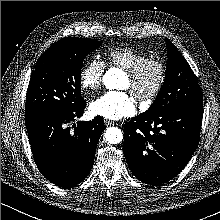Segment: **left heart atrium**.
<instances>
[{"label": "left heart atrium", "instance_id": "1", "mask_svg": "<svg viewBox=\"0 0 220 220\" xmlns=\"http://www.w3.org/2000/svg\"><path fill=\"white\" fill-rule=\"evenodd\" d=\"M93 115L109 120H118L136 113L134 97L126 91H109L90 103Z\"/></svg>", "mask_w": 220, "mask_h": 220}]
</instances>
